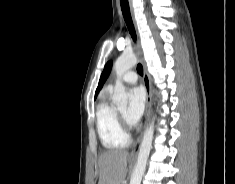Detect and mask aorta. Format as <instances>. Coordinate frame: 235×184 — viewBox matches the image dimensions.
<instances>
[{
	"label": "aorta",
	"instance_id": "aorta-1",
	"mask_svg": "<svg viewBox=\"0 0 235 184\" xmlns=\"http://www.w3.org/2000/svg\"><path fill=\"white\" fill-rule=\"evenodd\" d=\"M137 64V58L134 54H123L114 64V70L116 72L117 80L115 86V94L112 98L113 104L116 106H127L129 94L126 92L125 86L121 82V78L127 70H130L132 66ZM154 136V122H150L148 128L144 132L142 142L140 144L138 152V160L136 168L131 176L130 184H141L142 176L145 172L147 160L149 158L150 150L152 148V140Z\"/></svg>",
	"mask_w": 235,
	"mask_h": 184
}]
</instances>
